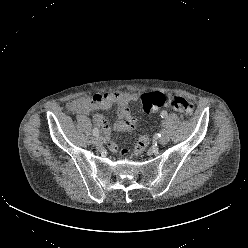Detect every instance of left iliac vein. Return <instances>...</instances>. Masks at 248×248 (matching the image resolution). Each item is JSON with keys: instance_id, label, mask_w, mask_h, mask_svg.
Instances as JSON below:
<instances>
[{"instance_id": "4c4485c4", "label": "left iliac vein", "mask_w": 248, "mask_h": 248, "mask_svg": "<svg viewBox=\"0 0 248 248\" xmlns=\"http://www.w3.org/2000/svg\"><path fill=\"white\" fill-rule=\"evenodd\" d=\"M168 141H169V136H168L167 132L164 131L163 135L159 139V142H160V144L165 145L168 143Z\"/></svg>"}]
</instances>
